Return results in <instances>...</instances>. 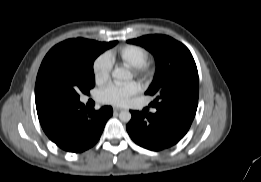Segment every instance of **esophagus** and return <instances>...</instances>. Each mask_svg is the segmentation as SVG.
<instances>
[{"label": "esophagus", "mask_w": 261, "mask_h": 182, "mask_svg": "<svg viewBox=\"0 0 261 182\" xmlns=\"http://www.w3.org/2000/svg\"><path fill=\"white\" fill-rule=\"evenodd\" d=\"M122 110H124L123 108H119V107H114L113 108V111L114 112H120V111H122Z\"/></svg>", "instance_id": "obj_1"}]
</instances>
